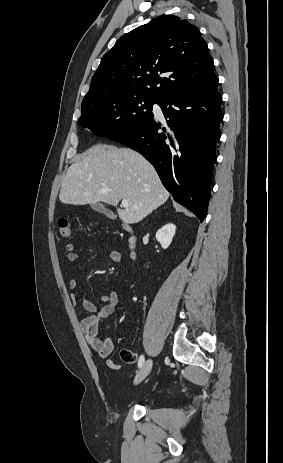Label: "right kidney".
I'll return each instance as SVG.
<instances>
[{"mask_svg":"<svg viewBox=\"0 0 283 463\" xmlns=\"http://www.w3.org/2000/svg\"><path fill=\"white\" fill-rule=\"evenodd\" d=\"M176 226L172 223L164 225L156 233V239L160 242L163 249H167L175 235Z\"/></svg>","mask_w":283,"mask_h":463,"instance_id":"ca27d5eb","label":"right kidney"}]
</instances>
